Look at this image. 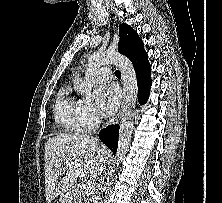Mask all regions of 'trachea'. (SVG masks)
<instances>
[{
    "mask_svg": "<svg viewBox=\"0 0 222 203\" xmlns=\"http://www.w3.org/2000/svg\"><path fill=\"white\" fill-rule=\"evenodd\" d=\"M115 75H116V77L120 78L121 77V72L119 70H116Z\"/></svg>",
    "mask_w": 222,
    "mask_h": 203,
    "instance_id": "trachea-1",
    "label": "trachea"
}]
</instances>
